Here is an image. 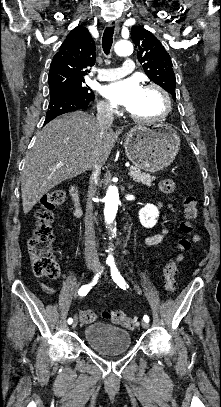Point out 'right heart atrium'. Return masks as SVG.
Instances as JSON below:
<instances>
[{"instance_id": "right-heart-atrium-1", "label": "right heart atrium", "mask_w": 221, "mask_h": 407, "mask_svg": "<svg viewBox=\"0 0 221 407\" xmlns=\"http://www.w3.org/2000/svg\"><path fill=\"white\" fill-rule=\"evenodd\" d=\"M97 109L100 113L111 114L116 112V107L106 100L100 101L97 105Z\"/></svg>"}]
</instances>
